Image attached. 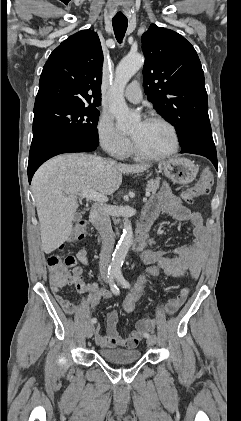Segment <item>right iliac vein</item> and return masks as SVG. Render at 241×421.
<instances>
[{
    "instance_id": "right-iliac-vein-1",
    "label": "right iliac vein",
    "mask_w": 241,
    "mask_h": 421,
    "mask_svg": "<svg viewBox=\"0 0 241 421\" xmlns=\"http://www.w3.org/2000/svg\"><path fill=\"white\" fill-rule=\"evenodd\" d=\"M95 331V326L94 325H89L86 329V336L87 338H91L94 334Z\"/></svg>"
}]
</instances>
